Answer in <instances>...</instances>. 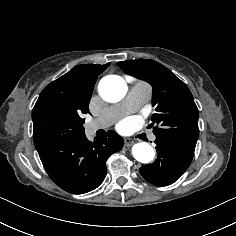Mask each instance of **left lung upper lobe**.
Returning <instances> with one entry per match:
<instances>
[{
  "mask_svg": "<svg viewBox=\"0 0 236 236\" xmlns=\"http://www.w3.org/2000/svg\"><path fill=\"white\" fill-rule=\"evenodd\" d=\"M117 64L125 73L152 85V103L157 105V113L152 115L149 127L155 126V136L196 144L199 135L198 109L187 85L154 60L136 59Z\"/></svg>",
  "mask_w": 236,
  "mask_h": 236,
  "instance_id": "5c2ea615",
  "label": "left lung upper lobe"
}]
</instances>
